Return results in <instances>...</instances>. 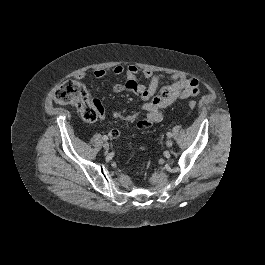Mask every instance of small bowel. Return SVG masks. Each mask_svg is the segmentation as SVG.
<instances>
[{"label": "small bowel", "instance_id": "obj_1", "mask_svg": "<svg viewBox=\"0 0 265 265\" xmlns=\"http://www.w3.org/2000/svg\"><path fill=\"white\" fill-rule=\"evenodd\" d=\"M148 80V84L144 85L138 80L139 73ZM113 73L117 76L125 75L126 81L119 82L113 85V92L121 93L125 90L131 91L137 95L141 101V109L145 112L144 117L139 113L124 114L116 110L112 113L113 118H121L127 122H135L137 127L145 129L153 123L160 122L163 119V111L168 106L172 105L178 99H187L194 97L199 92L198 80L182 74H174L172 83L159 87L161 77L154 74L148 69L140 70L136 65H128L126 67L118 65L114 67ZM107 75L105 69H96L94 76L98 79L104 78ZM84 73L76 75L77 79H83ZM97 101V100H96ZM99 103V101H97ZM103 119V108L99 103ZM120 135L119 130L113 129L110 131L112 138H117Z\"/></svg>", "mask_w": 265, "mask_h": 265}]
</instances>
